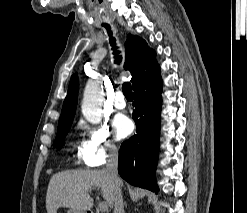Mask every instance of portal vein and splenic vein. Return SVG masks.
<instances>
[{
    "mask_svg": "<svg viewBox=\"0 0 247 213\" xmlns=\"http://www.w3.org/2000/svg\"><path fill=\"white\" fill-rule=\"evenodd\" d=\"M99 208H100V210H101L102 212L108 211V204H107V202H101V203L99 204Z\"/></svg>",
    "mask_w": 247,
    "mask_h": 213,
    "instance_id": "18ae733b",
    "label": "portal vein and splenic vein"
}]
</instances>
